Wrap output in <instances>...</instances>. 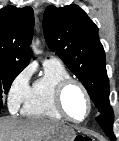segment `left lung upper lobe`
<instances>
[{"instance_id": "obj_1", "label": "left lung upper lobe", "mask_w": 119, "mask_h": 141, "mask_svg": "<svg viewBox=\"0 0 119 141\" xmlns=\"http://www.w3.org/2000/svg\"><path fill=\"white\" fill-rule=\"evenodd\" d=\"M43 29L48 47L84 85L98 111L109 107V80L98 28L77 5L46 8Z\"/></svg>"}]
</instances>
